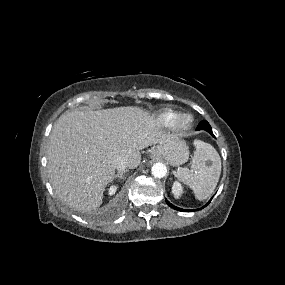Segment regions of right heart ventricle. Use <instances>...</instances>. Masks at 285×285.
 I'll list each match as a JSON object with an SVG mask.
<instances>
[{"mask_svg":"<svg viewBox=\"0 0 285 285\" xmlns=\"http://www.w3.org/2000/svg\"><path fill=\"white\" fill-rule=\"evenodd\" d=\"M161 121H163L166 124H173L176 120V114L173 112H165L160 116Z\"/></svg>","mask_w":285,"mask_h":285,"instance_id":"1","label":"right heart ventricle"}]
</instances>
